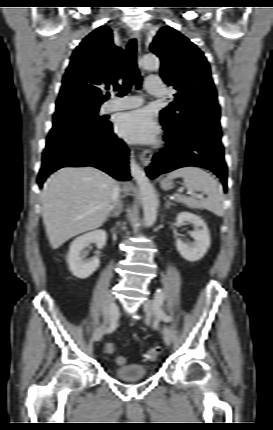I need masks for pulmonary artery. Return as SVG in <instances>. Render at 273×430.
I'll use <instances>...</instances> for the list:
<instances>
[{
    "label": "pulmonary artery",
    "instance_id": "pulmonary-artery-1",
    "mask_svg": "<svg viewBox=\"0 0 273 430\" xmlns=\"http://www.w3.org/2000/svg\"><path fill=\"white\" fill-rule=\"evenodd\" d=\"M147 91L154 96H162L164 94L163 84L158 78H150L146 83ZM143 100L138 96H126L121 99L112 100L105 105L106 112H114L126 109H132L142 105Z\"/></svg>",
    "mask_w": 273,
    "mask_h": 430
}]
</instances>
